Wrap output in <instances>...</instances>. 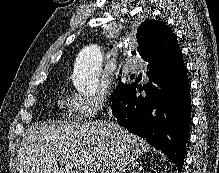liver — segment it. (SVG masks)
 Returning a JSON list of instances; mask_svg holds the SVG:
<instances>
[{
  "label": "liver",
  "mask_w": 219,
  "mask_h": 173,
  "mask_svg": "<svg viewBox=\"0 0 219 173\" xmlns=\"http://www.w3.org/2000/svg\"><path fill=\"white\" fill-rule=\"evenodd\" d=\"M149 149L114 122L41 124L23 139L18 167L19 173H125Z\"/></svg>",
  "instance_id": "obj_1"
}]
</instances>
